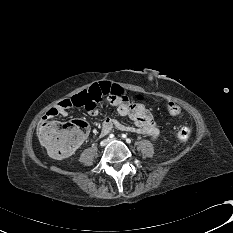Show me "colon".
Instances as JSON below:
<instances>
[{"label": "colon", "mask_w": 233, "mask_h": 233, "mask_svg": "<svg viewBox=\"0 0 233 233\" xmlns=\"http://www.w3.org/2000/svg\"><path fill=\"white\" fill-rule=\"evenodd\" d=\"M123 90L121 83L116 81L110 83L103 80L92 85L88 90L73 96L70 101L74 107H83L93 112L92 108L101 97L113 93L116 96V101L122 95ZM167 112L171 116H178L181 114V108L170 102L167 105ZM88 130L89 125L83 120H74L64 124L50 123L40 129L39 138L52 158L63 159L69 157L77 149ZM176 136L180 140H187L191 136V129L188 127L179 128Z\"/></svg>", "instance_id": "colon-1"}]
</instances>
